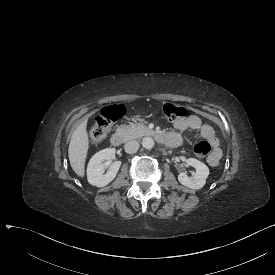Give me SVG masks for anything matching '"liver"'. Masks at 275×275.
Returning <instances> with one entry per match:
<instances>
[{"label":"liver","instance_id":"6515ba94","mask_svg":"<svg viewBox=\"0 0 275 275\" xmlns=\"http://www.w3.org/2000/svg\"><path fill=\"white\" fill-rule=\"evenodd\" d=\"M86 126L87 119L84 120L73 132L68 148V156L71 167L80 177L84 176L85 159L89 147Z\"/></svg>","mask_w":275,"mask_h":275}]
</instances>
